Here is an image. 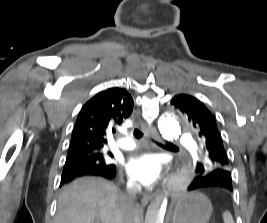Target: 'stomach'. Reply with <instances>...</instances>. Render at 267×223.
I'll return each mask as SVG.
<instances>
[{
	"label": "stomach",
	"instance_id": "stomach-1",
	"mask_svg": "<svg viewBox=\"0 0 267 223\" xmlns=\"http://www.w3.org/2000/svg\"><path fill=\"white\" fill-rule=\"evenodd\" d=\"M209 198L200 192L182 194L177 198L171 223H208L212 215Z\"/></svg>",
	"mask_w": 267,
	"mask_h": 223
}]
</instances>
